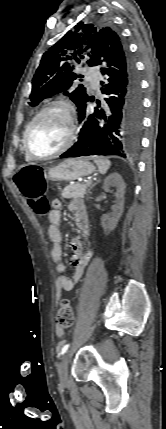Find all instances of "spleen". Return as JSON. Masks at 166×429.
<instances>
[{"label": "spleen", "instance_id": "1", "mask_svg": "<svg viewBox=\"0 0 166 429\" xmlns=\"http://www.w3.org/2000/svg\"><path fill=\"white\" fill-rule=\"evenodd\" d=\"M94 162L98 166V170L101 174H105L111 166V162L104 158H94Z\"/></svg>", "mask_w": 166, "mask_h": 429}]
</instances>
